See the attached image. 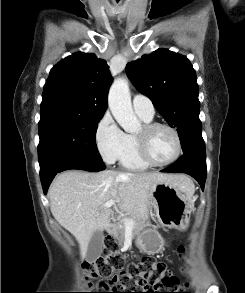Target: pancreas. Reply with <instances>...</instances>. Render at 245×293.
<instances>
[{"mask_svg":"<svg viewBox=\"0 0 245 293\" xmlns=\"http://www.w3.org/2000/svg\"><path fill=\"white\" fill-rule=\"evenodd\" d=\"M127 219L135 222L132 229L133 234L140 233L142 230H144V228H146L149 225L148 217L146 214H141V213L131 214L128 216ZM124 222H125V219L121 220L120 222L116 224L114 228V238L119 242L120 245L123 244L125 239L126 228H125Z\"/></svg>","mask_w":245,"mask_h":293,"instance_id":"obj_1","label":"pancreas"}]
</instances>
